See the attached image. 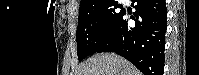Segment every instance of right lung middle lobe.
Instances as JSON below:
<instances>
[{
  "instance_id": "dd1d6c3e",
  "label": "right lung middle lobe",
  "mask_w": 199,
  "mask_h": 75,
  "mask_svg": "<svg viewBox=\"0 0 199 75\" xmlns=\"http://www.w3.org/2000/svg\"><path fill=\"white\" fill-rule=\"evenodd\" d=\"M118 3L111 0L92 10L79 14L76 32L79 61L94 54L110 37L123 11Z\"/></svg>"
}]
</instances>
